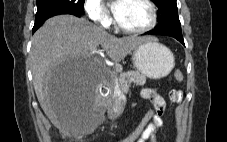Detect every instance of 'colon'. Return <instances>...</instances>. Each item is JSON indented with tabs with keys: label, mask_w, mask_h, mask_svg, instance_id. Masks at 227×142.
<instances>
[{
	"label": "colon",
	"mask_w": 227,
	"mask_h": 142,
	"mask_svg": "<svg viewBox=\"0 0 227 142\" xmlns=\"http://www.w3.org/2000/svg\"><path fill=\"white\" fill-rule=\"evenodd\" d=\"M183 78V74L180 71L175 73V79L180 81ZM157 116L156 109L148 110L137 126L125 137L120 139L118 142H138V140L142 137L143 133L147 130V128L151 125L154 119Z\"/></svg>",
	"instance_id": "1"
}]
</instances>
